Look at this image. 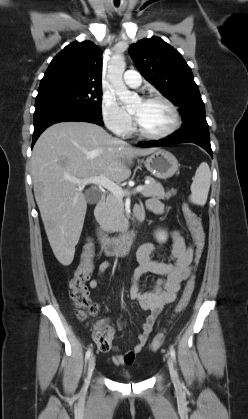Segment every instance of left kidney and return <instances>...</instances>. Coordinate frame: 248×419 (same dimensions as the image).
<instances>
[{"label":"left kidney","mask_w":248,"mask_h":419,"mask_svg":"<svg viewBox=\"0 0 248 419\" xmlns=\"http://www.w3.org/2000/svg\"><path fill=\"white\" fill-rule=\"evenodd\" d=\"M156 238L160 242H165L167 240V233L164 231H158L156 233Z\"/></svg>","instance_id":"left-kidney-1"}]
</instances>
